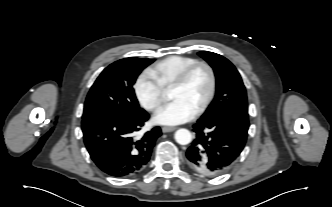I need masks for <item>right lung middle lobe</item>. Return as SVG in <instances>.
Wrapping results in <instances>:
<instances>
[{"instance_id": "obj_1", "label": "right lung middle lobe", "mask_w": 332, "mask_h": 207, "mask_svg": "<svg viewBox=\"0 0 332 207\" xmlns=\"http://www.w3.org/2000/svg\"><path fill=\"white\" fill-rule=\"evenodd\" d=\"M153 61L125 58L104 69L87 95L82 119L100 115L129 117L143 111L139 107L133 85L140 72Z\"/></svg>"}]
</instances>
